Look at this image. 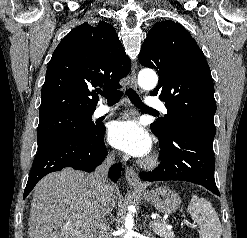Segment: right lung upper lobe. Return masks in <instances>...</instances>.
<instances>
[{
	"label": "right lung upper lobe",
	"instance_id": "obj_1",
	"mask_svg": "<svg viewBox=\"0 0 247 238\" xmlns=\"http://www.w3.org/2000/svg\"><path fill=\"white\" fill-rule=\"evenodd\" d=\"M131 67L114 27L102 20L83 23L59 43L41 91L39 122L94 112L99 88H120Z\"/></svg>",
	"mask_w": 247,
	"mask_h": 238
}]
</instances>
